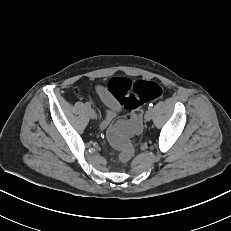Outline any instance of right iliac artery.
<instances>
[{
    "mask_svg": "<svg viewBox=\"0 0 231 231\" xmlns=\"http://www.w3.org/2000/svg\"><path fill=\"white\" fill-rule=\"evenodd\" d=\"M85 106H86L87 108H90V107H91V105H90L89 102H86V103H85Z\"/></svg>",
    "mask_w": 231,
    "mask_h": 231,
    "instance_id": "obj_1",
    "label": "right iliac artery"
}]
</instances>
